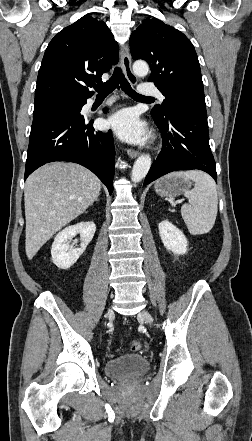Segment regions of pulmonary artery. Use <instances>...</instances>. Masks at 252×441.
Segmentation results:
<instances>
[{
  "label": "pulmonary artery",
  "mask_w": 252,
  "mask_h": 441,
  "mask_svg": "<svg viewBox=\"0 0 252 441\" xmlns=\"http://www.w3.org/2000/svg\"><path fill=\"white\" fill-rule=\"evenodd\" d=\"M138 92H139V94L142 95V96H146V97H148V96H157V97H159L161 100H163V95L161 94V92H160L157 88L151 86L150 84H142V85H140V86L138 87ZM93 104H94V101H93V100H90V101L87 103L86 106H87V108H89V107H91Z\"/></svg>",
  "instance_id": "obj_1"
}]
</instances>
